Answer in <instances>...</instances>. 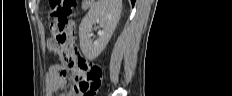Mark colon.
<instances>
[{
    "instance_id": "1",
    "label": "colon",
    "mask_w": 232,
    "mask_h": 96,
    "mask_svg": "<svg viewBox=\"0 0 232 96\" xmlns=\"http://www.w3.org/2000/svg\"><path fill=\"white\" fill-rule=\"evenodd\" d=\"M75 0H50V33L56 43L55 52L74 66V79L79 93L83 96H94L100 86L103 71L94 64V68H86L91 63L82 58L76 47L67 44L74 35H68L67 23L73 22L76 14Z\"/></svg>"
}]
</instances>
